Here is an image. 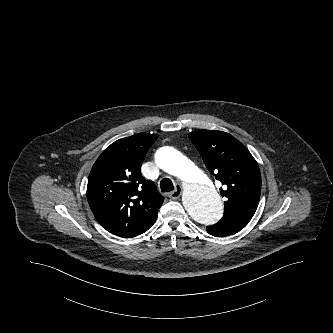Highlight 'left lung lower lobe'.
Listing matches in <instances>:
<instances>
[{
	"instance_id": "left-lung-lower-lobe-1",
	"label": "left lung lower lobe",
	"mask_w": 333,
	"mask_h": 333,
	"mask_svg": "<svg viewBox=\"0 0 333 333\" xmlns=\"http://www.w3.org/2000/svg\"><path fill=\"white\" fill-rule=\"evenodd\" d=\"M242 229L240 226H234L227 223H217L206 228L207 232L216 237H222L239 232Z\"/></svg>"
}]
</instances>
